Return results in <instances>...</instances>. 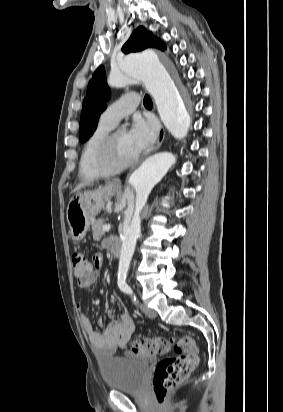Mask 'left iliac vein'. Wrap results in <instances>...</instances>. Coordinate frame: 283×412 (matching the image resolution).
<instances>
[{
    "mask_svg": "<svg viewBox=\"0 0 283 412\" xmlns=\"http://www.w3.org/2000/svg\"><path fill=\"white\" fill-rule=\"evenodd\" d=\"M139 307H140L141 311H142L146 316H148L149 318H153V319L156 318L157 313H156L155 310L147 307V306H146L145 304H143V303H140Z\"/></svg>",
    "mask_w": 283,
    "mask_h": 412,
    "instance_id": "4c4485c4",
    "label": "left iliac vein"
}]
</instances>
